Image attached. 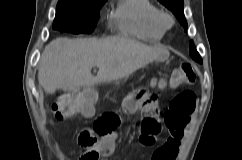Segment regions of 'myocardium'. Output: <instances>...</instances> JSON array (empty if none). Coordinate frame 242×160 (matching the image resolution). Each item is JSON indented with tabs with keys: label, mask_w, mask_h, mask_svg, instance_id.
Returning <instances> with one entry per match:
<instances>
[{
	"label": "myocardium",
	"mask_w": 242,
	"mask_h": 160,
	"mask_svg": "<svg viewBox=\"0 0 242 160\" xmlns=\"http://www.w3.org/2000/svg\"><path fill=\"white\" fill-rule=\"evenodd\" d=\"M158 21L160 25L165 29L171 28L174 24L173 16L167 11L159 12Z\"/></svg>",
	"instance_id": "1"
}]
</instances>
